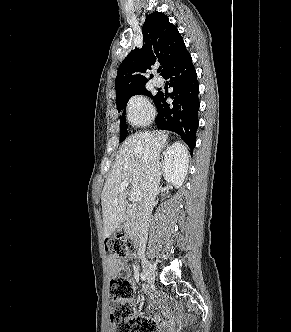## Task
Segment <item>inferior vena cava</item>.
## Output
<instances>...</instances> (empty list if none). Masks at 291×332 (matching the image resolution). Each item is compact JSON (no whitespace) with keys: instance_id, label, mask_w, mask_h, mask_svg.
<instances>
[{"instance_id":"inferior-vena-cava-1","label":"inferior vena cava","mask_w":291,"mask_h":332,"mask_svg":"<svg viewBox=\"0 0 291 332\" xmlns=\"http://www.w3.org/2000/svg\"><path fill=\"white\" fill-rule=\"evenodd\" d=\"M161 163L159 153L155 148L148 150V165L144 178L143 208L140 212L139 252L144 253L147 242V232L154 206L155 197L160 184Z\"/></svg>"}]
</instances>
